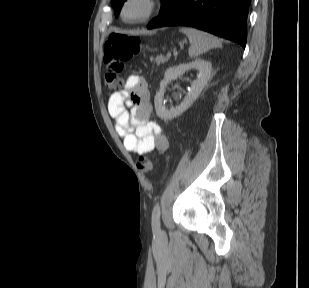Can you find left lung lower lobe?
Wrapping results in <instances>:
<instances>
[{
	"label": "left lung lower lobe",
	"mask_w": 309,
	"mask_h": 288,
	"mask_svg": "<svg viewBox=\"0 0 309 288\" xmlns=\"http://www.w3.org/2000/svg\"><path fill=\"white\" fill-rule=\"evenodd\" d=\"M250 3L251 0H174L147 28L191 26L245 47Z\"/></svg>",
	"instance_id": "1"
}]
</instances>
